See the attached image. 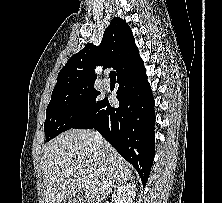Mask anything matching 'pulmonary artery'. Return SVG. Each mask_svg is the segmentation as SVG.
<instances>
[{
  "label": "pulmonary artery",
  "mask_w": 222,
  "mask_h": 203,
  "mask_svg": "<svg viewBox=\"0 0 222 203\" xmlns=\"http://www.w3.org/2000/svg\"><path fill=\"white\" fill-rule=\"evenodd\" d=\"M110 80H109V78H104L103 80H102V86L105 88V89H108L109 87H110Z\"/></svg>",
  "instance_id": "1"
}]
</instances>
